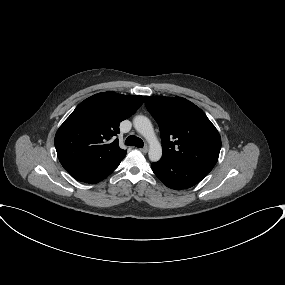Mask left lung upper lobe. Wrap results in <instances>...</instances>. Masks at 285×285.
<instances>
[{
  "mask_svg": "<svg viewBox=\"0 0 285 285\" xmlns=\"http://www.w3.org/2000/svg\"><path fill=\"white\" fill-rule=\"evenodd\" d=\"M145 103L159 124L162 159L210 172L219 157L221 138L205 113L182 97L145 96Z\"/></svg>",
  "mask_w": 285,
  "mask_h": 285,
  "instance_id": "left-lung-upper-lobe-1",
  "label": "left lung upper lobe"
}]
</instances>
